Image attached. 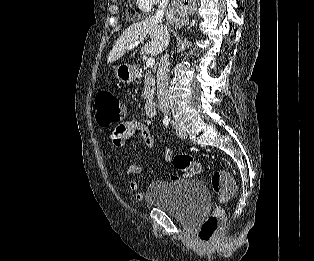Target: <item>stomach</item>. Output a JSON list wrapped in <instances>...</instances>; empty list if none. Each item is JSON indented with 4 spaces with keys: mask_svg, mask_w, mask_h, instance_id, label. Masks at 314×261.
<instances>
[{
    "mask_svg": "<svg viewBox=\"0 0 314 261\" xmlns=\"http://www.w3.org/2000/svg\"><path fill=\"white\" fill-rule=\"evenodd\" d=\"M115 74L122 83H131L136 78L135 67L128 64L119 65L115 70Z\"/></svg>",
    "mask_w": 314,
    "mask_h": 261,
    "instance_id": "1",
    "label": "stomach"
}]
</instances>
